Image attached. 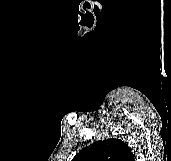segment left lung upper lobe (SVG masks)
<instances>
[{"instance_id": "obj_1", "label": "left lung upper lobe", "mask_w": 171, "mask_h": 161, "mask_svg": "<svg viewBox=\"0 0 171 161\" xmlns=\"http://www.w3.org/2000/svg\"><path fill=\"white\" fill-rule=\"evenodd\" d=\"M72 161H134V155L126 143L112 138L85 147Z\"/></svg>"}]
</instances>
